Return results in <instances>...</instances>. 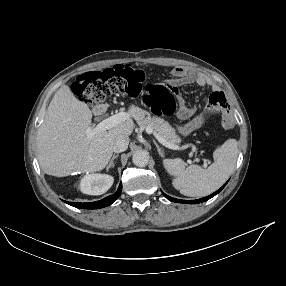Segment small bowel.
<instances>
[{
  "label": "small bowel",
  "instance_id": "obj_1",
  "mask_svg": "<svg viewBox=\"0 0 286 286\" xmlns=\"http://www.w3.org/2000/svg\"><path fill=\"white\" fill-rule=\"evenodd\" d=\"M171 74L172 78L168 86L171 87L178 103L177 117L182 120L190 119L196 113L198 106L188 105L180 95L178 88L190 84H196L200 87L212 86V82L204 73L193 71L183 66L175 67ZM210 112H220L225 115L229 112L227 100L224 94L217 88H213L204 111L196 118L207 116Z\"/></svg>",
  "mask_w": 286,
  "mask_h": 286
}]
</instances>
